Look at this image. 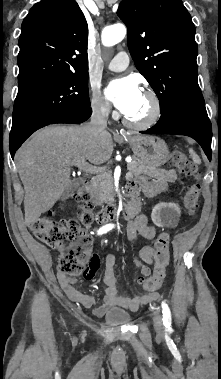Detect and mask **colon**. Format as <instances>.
Segmentation results:
<instances>
[{
    "label": "colon",
    "instance_id": "obj_1",
    "mask_svg": "<svg viewBox=\"0 0 221 379\" xmlns=\"http://www.w3.org/2000/svg\"><path fill=\"white\" fill-rule=\"evenodd\" d=\"M172 161L179 172L193 179V182L187 187L184 199L185 208L191 215L197 209L200 201L199 168L196 163L179 151L173 152ZM72 196L80 208L78 219L57 221L42 216L30 224V230L37 239L61 252L60 272L76 276L82 275L83 268L88 264L92 244L89 227L94 220V205L90 191L83 187L77 188ZM170 241L171 235L168 232L160 233L155 241L154 272L148 278L138 279L139 284L146 291L154 292L164 283L170 261Z\"/></svg>",
    "mask_w": 221,
    "mask_h": 379
}]
</instances>
